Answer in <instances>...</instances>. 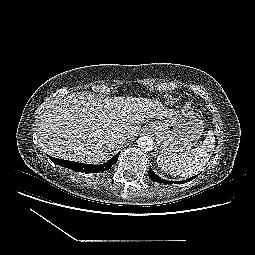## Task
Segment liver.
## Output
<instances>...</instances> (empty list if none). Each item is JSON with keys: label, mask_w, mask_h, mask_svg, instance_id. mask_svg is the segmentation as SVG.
I'll use <instances>...</instances> for the list:
<instances>
[{"label": "liver", "mask_w": 255, "mask_h": 255, "mask_svg": "<svg viewBox=\"0 0 255 255\" xmlns=\"http://www.w3.org/2000/svg\"><path fill=\"white\" fill-rule=\"evenodd\" d=\"M174 114L161 102L142 97H106L90 92L72 93L50 101L39 122L38 141L58 158L98 164L121 147L117 134L136 136L139 124Z\"/></svg>", "instance_id": "6515ba94"}]
</instances>
